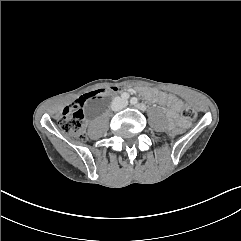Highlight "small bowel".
I'll return each mask as SVG.
<instances>
[{
    "instance_id": "small-bowel-1",
    "label": "small bowel",
    "mask_w": 241,
    "mask_h": 241,
    "mask_svg": "<svg viewBox=\"0 0 241 241\" xmlns=\"http://www.w3.org/2000/svg\"><path fill=\"white\" fill-rule=\"evenodd\" d=\"M118 88V87H117ZM119 88L115 91L118 92ZM144 94L148 99L158 101L159 103L168 107L167 115L169 118L174 119L183 106V102L174 95L165 94L162 92H153L145 90ZM178 125H183V122L177 120Z\"/></svg>"
}]
</instances>
